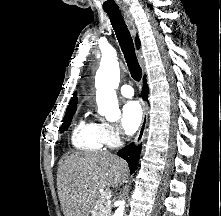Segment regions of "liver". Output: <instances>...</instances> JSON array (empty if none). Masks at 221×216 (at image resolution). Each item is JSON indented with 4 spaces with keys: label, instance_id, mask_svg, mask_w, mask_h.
<instances>
[{
    "label": "liver",
    "instance_id": "6515ba94",
    "mask_svg": "<svg viewBox=\"0 0 221 216\" xmlns=\"http://www.w3.org/2000/svg\"><path fill=\"white\" fill-rule=\"evenodd\" d=\"M125 160L106 152H76L59 165L57 188L64 216H89L101 188L124 183Z\"/></svg>",
    "mask_w": 221,
    "mask_h": 216
}]
</instances>
